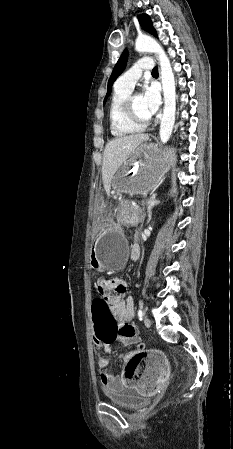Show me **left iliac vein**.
Returning <instances> with one entry per match:
<instances>
[{"label":"left iliac vein","instance_id":"left-iliac-vein-1","mask_svg":"<svg viewBox=\"0 0 233 449\" xmlns=\"http://www.w3.org/2000/svg\"><path fill=\"white\" fill-rule=\"evenodd\" d=\"M144 324H145V326L148 327V328H150L151 325H152L151 320H150L148 317H145V318H144Z\"/></svg>","mask_w":233,"mask_h":449}]
</instances>
